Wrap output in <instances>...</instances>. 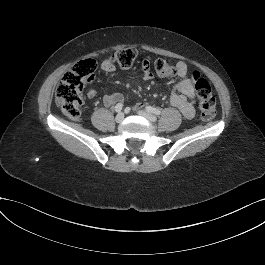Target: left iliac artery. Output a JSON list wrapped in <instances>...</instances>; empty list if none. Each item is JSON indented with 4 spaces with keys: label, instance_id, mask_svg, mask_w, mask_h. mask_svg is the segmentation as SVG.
Masks as SVG:
<instances>
[{
    "label": "left iliac artery",
    "instance_id": "left-iliac-artery-1",
    "mask_svg": "<svg viewBox=\"0 0 265 265\" xmlns=\"http://www.w3.org/2000/svg\"><path fill=\"white\" fill-rule=\"evenodd\" d=\"M146 110L148 112L154 113L156 115H160L161 114V110L159 108H154V107H151V106H147Z\"/></svg>",
    "mask_w": 265,
    "mask_h": 265
}]
</instances>
